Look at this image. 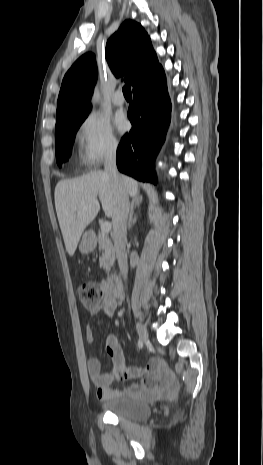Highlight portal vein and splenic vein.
I'll return each mask as SVG.
<instances>
[{"mask_svg":"<svg viewBox=\"0 0 263 465\" xmlns=\"http://www.w3.org/2000/svg\"><path fill=\"white\" fill-rule=\"evenodd\" d=\"M111 223L106 221L101 224V231L104 233H108L111 230Z\"/></svg>","mask_w":263,"mask_h":465,"instance_id":"obj_1","label":"portal vein and splenic vein"}]
</instances>
